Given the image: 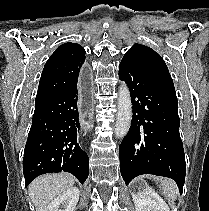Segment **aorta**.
Masks as SVG:
<instances>
[{"label": "aorta", "instance_id": "1", "mask_svg": "<svg viewBox=\"0 0 209 211\" xmlns=\"http://www.w3.org/2000/svg\"><path fill=\"white\" fill-rule=\"evenodd\" d=\"M132 120V103L128 87L125 83L120 85L118 96V111L115 124V136L123 138L129 131Z\"/></svg>", "mask_w": 209, "mask_h": 211}]
</instances>
